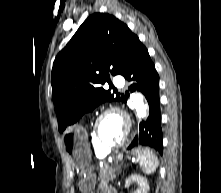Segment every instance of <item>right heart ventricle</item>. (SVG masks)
I'll return each mask as SVG.
<instances>
[{
	"label": "right heart ventricle",
	"mask_w": 221,
	"mask_h": 193,
	"mask_svg": "<svg viewBox=\"0 0 221 193\" xmlns=\"http://www.w3.org/2000/svg\"><path fill=\"white\" fill-rule=\"evenodd\" d=\"M91 144H92L93 151L97 157L102 158L107 155V151L101 148L100 146H98L96 142L94 141L93 137L91 138Z\"/></svg>",
	"instance_id": "obj_1"
}]
</instances>
